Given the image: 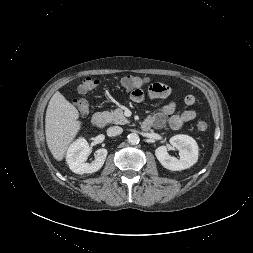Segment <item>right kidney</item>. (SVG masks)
Instances as JSON below:
<instances>
[{
    "label": "right kidney",
    "mask_w": 253,
    "mask_h": 253,
    "mask_svg": "<svg viewBox=\"0 0 253 253\" xmlns=\"http://www.w3.org/2000/svg\"><path fill=\"white\" fill-rule=\"evenodd\" d=\"M107 150L104 148L96 151V158L92 163L85 161L91 154V149L84 138L77 139L67 150L66 162L72 172L76 174L94 173L104 164L107 157Z\"/></svg>",
    "instance_id": "ca27d5eb"
}]
</instances>
